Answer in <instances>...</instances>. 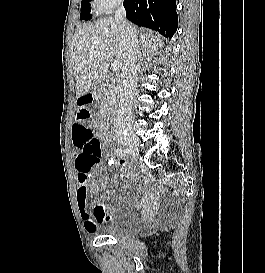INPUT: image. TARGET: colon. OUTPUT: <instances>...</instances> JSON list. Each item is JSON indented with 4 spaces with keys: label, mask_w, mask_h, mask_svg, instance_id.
<instances>
[{
    "label": "colon",
    "mask_w": 265,
    "mask_h": 273,
    "mask_svg": "<svg viewBox=\"0 0 265 273\" xmlns=\"http://www.w3.org/2000/svg\"><path fill=\"white\" fill-rule=\"evenodd\" d=\"M79 136L77 139V146H83L85 153L81 159V167L85 169H93L99 161V141L98 138L89 129H78Z\"/></svg>",
    "instance_id": "colon-1"
}]
</instances>
